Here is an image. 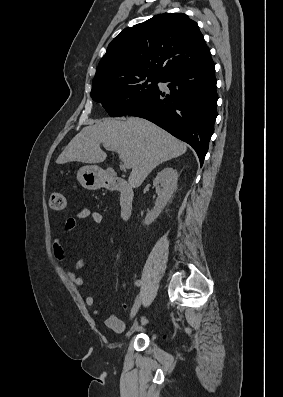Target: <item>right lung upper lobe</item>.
<instances>
[{
    "mask_svg": "<svg viewBox=\"0 0 283 397\" xmlns=\"http://www.w3.org/2000/svg\"><path fill=\"white\" fill-rule=\"evenodd\" d=\"M210 60L197 23L183 13H165L126 28L114 38L93 82L139 76L163 80L173 72Z\"/></svg>",
    "mask_w": 283,
    "mask_h": 397,
    "instance_id": "obj_1",
    "label": "right lung upper lobe"
}]
</instances>
